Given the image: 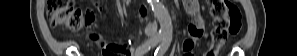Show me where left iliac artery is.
Returning <instances> with one entry per match:
<instances>
[{
	"instance_id": "44dca946",
	"label": "left iliac artery",
	"mask_w": 297,
	"mask_h": 56,
	"mask_svg": "<svg viewBox=\"0 0 297 56\" xmlns=\"http://www.w3.org/2000/svg\"><path fill=\"white\" fill-rule=\"evenodd\" d=\"M171 42V35H166L162 44L156 49L154 56H163Z\"/></svg>"
}]
</instances>
